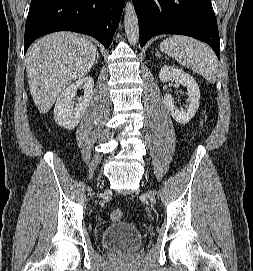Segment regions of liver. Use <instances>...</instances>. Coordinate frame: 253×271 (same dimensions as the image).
Returning <instances> with one entry per match:
<instances>
[{
    "label": "liver",
    "mask_w": 253,
    "mask_h": 271,
    "mask_svg": "<svg viewBox=\"0 0 253 271\" xmlns=\"http://www.w3.org/2000/svg\"><path fill=\"white\" fill-rule=\"evenodd\" d=\"M97 55L88 38L72 32L52 33L30 46L26 55L28 85L40 113H47L70 83L89 73Z\"/></svg>",
    "instance_id": "1"
}]
</instances>
